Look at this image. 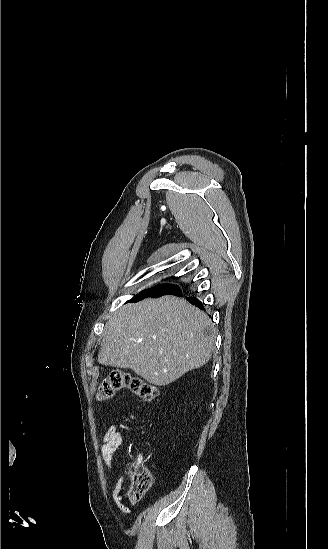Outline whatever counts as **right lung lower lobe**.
<instances>
[{
	"label": "right lung lower lobe",
	"mask_w": 328,
	"mask_h": 549,
	"mask_svg": "<svg viewBox=\"0 0 328 549\" xmlns=\"http://www.w3.org/2000/svg\"><path fill=\"white\" fill-rule=\"evenodd\" d=\"M186 299H187L190 303H192V304L196 305L197 307L203 309L202 303H201L198 299H196L195 297H187Z\"/></svg>",
	"instance_id": "98d812e1"
}]
</instances>
